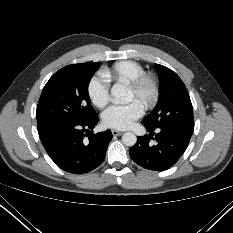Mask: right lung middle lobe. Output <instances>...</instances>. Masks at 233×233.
Returning <instances> with one entry per match:
<instances>
[{
	"label": "right lung middle lobe",
	"instance_id": "1",
	"mask_svg": "<svg viewBox=\"0 0 233 233\" xmlns=\"http://www.w3.org/2000/svg\"><path fill=\"white\" fill-rule=\"evenodd\" d=\"M100 65V62L72 64L49 79L37 106L38 129L50 123L84 122L96 116L88 86Z\"/></svg>",
	"mask_w": 233,
	"mask_h": 233
}]
</instances>
